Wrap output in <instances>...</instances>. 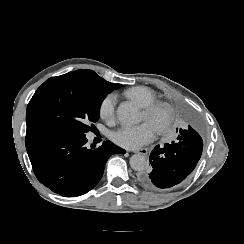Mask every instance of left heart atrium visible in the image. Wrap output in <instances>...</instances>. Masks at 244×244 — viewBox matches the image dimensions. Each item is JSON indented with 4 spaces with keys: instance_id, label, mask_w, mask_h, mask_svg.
Returning <instances> with one entry per match:
<instances>
[{
    "instance_id": "left-heart-atrium-1",
    "label": "left heart atrium",
    "mask_w": 244,
    "mask_h": 244,
    "mask_svg": "<svg viewBox=\"0 0 244 244\" xmlns=\"http://www.w3.org/2000/svg\"><path fill=\"white\" fill-rule=\"evenodd\" d=\"M157 136L156 128L150 122H145L139 126L131 128H121L112 134L115 144L135 150L143 145L152 143Z\"/></svg>"
}]
</instances>
